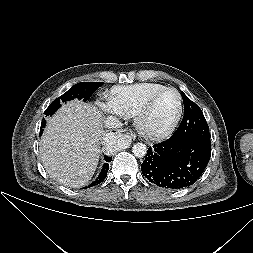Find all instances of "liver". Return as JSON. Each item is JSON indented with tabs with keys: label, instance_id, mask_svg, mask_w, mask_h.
I'll use <instances>...</instances> for the list:
<instances>
[{
	"label": "liver",
	"instance_id": "1",
	"mask_svg": "<svg viewBox=\"0 0 253 253\" xmlns=\"http://www.w3.org/2000/svg\"><path fill=\"white\" fill-rule=\"evenodd\" d=\"M101 125L99 111L79 100L63 104L48 119L40 154L50 177L70 187L83 186L92 178L100 156Z\"/></svg>",
	"mask_w": 253,
	"mask_h": 253
}]
</instances>
